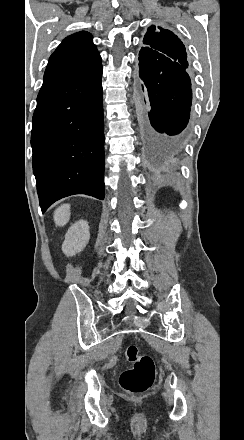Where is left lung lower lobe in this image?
<instances>
[{
  "mask_svg": "<svg viewBox=\"0 0 244 440\" xmlns=\"http://www.w3.org/2000/svg\"><path fill=\"white\" fill-rule=\"evenodd\" d=\"M186 69L139 60L140 135L150 154L176 151L188 138L192 90Z\"/></svg>",
  "mask_w": 244,
  "mask_h": 440,
  "instance_id": "1",
  "label": "left lung lower lobe"
}]
</instances>
